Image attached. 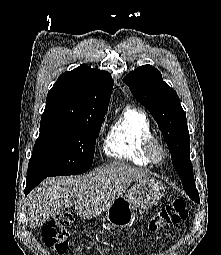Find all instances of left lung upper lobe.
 I'll return each mask as SVG.
<instances>
[{"label": "left lung upper lobe", "instance_id": "obj_1", "mask_svg": "<svg viewBox=\"0 0 221 255\" xmlns=\"http://www.w3.org/2000/svg\"><path fill=\"white\" fill-rule=\"evenodd\" d=\"M123 81L156 120L186 193L199 203L190 161V137L186 114L180 105L178 95L162 80L161 73L151 65H144L131 71Z\"/></svg>", "mask_w": 221, "mask_h": 255}]
</instances>
